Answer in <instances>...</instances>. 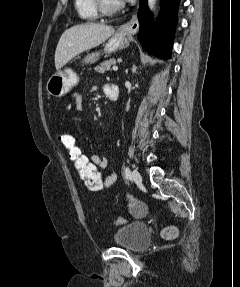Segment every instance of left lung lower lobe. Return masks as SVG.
Instances as JSON below:
<instances>
[{
	"instance_id": "left-lung-lower-lobe-1",
	"label": "left lung lower lobe",
	"mask_w": 240,
	"mask_h": 287,
	"mask_svg": "<svg viewBox=\"0 0 240 287\" xmlns=\"http://www.w3.org/2000/svg\"><path fill=\"white\" fill-rule=\"evenodd\" d=\"M162 12L156 26L152 25V15L147 0H140L138 19L140 31L137 35L142 47L149 53L168 59L177 23L179 0H161Z\"/></svg>"
}]
</instances>
